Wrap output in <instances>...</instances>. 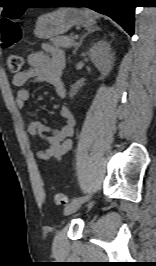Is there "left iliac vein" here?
Listing matches in <instances>:
<instances>
[{
    "mask_svg": "<svg viewBox=\"0 0 156 266\" xmlns=\"http://www.w3.org/2000/svg\"><path fill=\"white\" fill-rule=\"evenodd\" d=\"M86 201V200H85ZM83 203H77L76 201L70 202L66 207L64 208V214L69 215L74 212H76Z\"/></svg>",
    "mask_w": 156,
    "mask_h": 266,
    "instance_id": "1",
    "label": "left iliac vein"
}]
</instances>
